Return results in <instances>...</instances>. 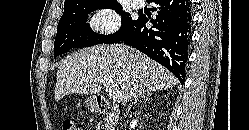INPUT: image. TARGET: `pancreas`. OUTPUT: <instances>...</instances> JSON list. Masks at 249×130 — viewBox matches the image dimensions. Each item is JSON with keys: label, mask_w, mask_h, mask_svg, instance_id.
Masks as SVG:
<instances>
[{"label": "pancreas", "mask_w": 249, "mask_h": 130, "mask_svg": "<svg viewBox=\"0 0 249 130\" xmlns=\"http://www.w3.org/2000/svg\"><path fill=\"white\" fill-rule=\"evenodd\" d=\"M106 122H107V125L105 126V128L108 130V129H110V124H109L108 118L106 119Z\"/></svg>", "instance_id": "cf45deb5"}]
</instances>
